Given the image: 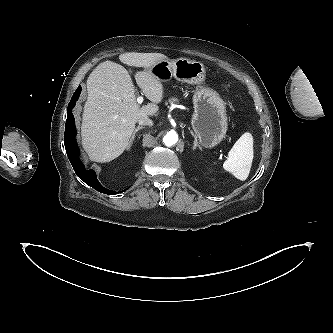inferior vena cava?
Segmentation results:
<instances>
[{
	"label": "inferior vena cava",
	"instance_id": "602c4592",
	"mask_svg": "<svg viewBox=\"0 0 333 333\" xmlns=\"http://www.w3.org/2000/svg\"><path fill=\"white\" fill-rule=\"evenodd\" d=\"M138 123L140 125H147V126H152L153 122L151 119H149L148 117H142L138 120Z\"/></svg>",
	"mask_w": 333,
	"mask_h": 333
}]
</instances>
